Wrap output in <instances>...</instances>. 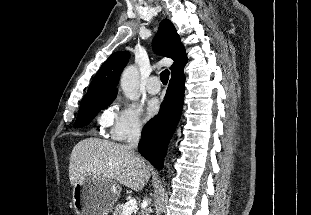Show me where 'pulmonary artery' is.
Instances as JSON below:
<instances>
[{"instance_id": "pulmonary-artery-1", "label": "pulmonary artery", "mask_w": 311, "mask_h": 215, "mask_svg": "<svg viewBox=\"0 0 311 215\" xmlns=\"http://www.w3.org/2000/svg\"><path fill=\"white\" fill-rule=\"evenodd\" d=\"M146 89L150 94H157L160 91V81L157 76H151L146 85Z\"/></svg>"}]
</instances>
